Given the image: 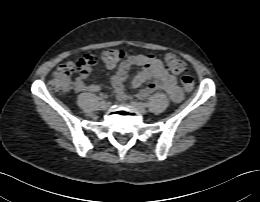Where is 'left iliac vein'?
I'll return each mask as SVG.
<instances>
[{"instance_id": "obj_1", "label": "left iliac vein", "mask_w": 260, "mask_h": 202, "mask_svg": "<svg viewBox=\"0 0 260 202\" xmlns=\"http://www.w3.org/2000/svg\"><path fill=\"white\" fill-rule=\"evenodd\" d=\"M130 104L132 107H134L136 110H138L142 114H145L147 112L145 106L138 102L132 101V102H130Z\"/></svg>"}]
</instances>
